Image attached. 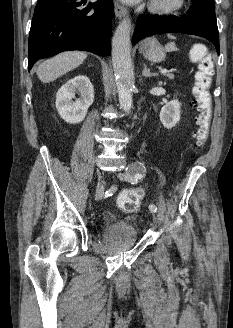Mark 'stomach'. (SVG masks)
I'll list each match as a JSON object with an SVG mask.
<instances>
[{"label": "stomach", "instance_id": "stomach-1", "mask_svg": "<svg viewBox=\"0 0 233 328\" xmlns=\"http://www.w3.org/2000/svg\"><path fill=\"white\" fill-rule=\"evenodd\" d=\"M140 51L145 58L152 62H161L165 59V52L160 43L155 38L146 40L140 47Z\"/></svg>", "mask_w": 233, "mask_h": 328}]
</instances>
